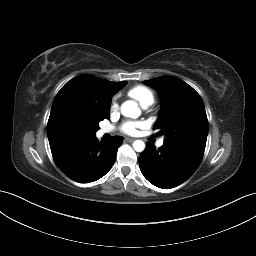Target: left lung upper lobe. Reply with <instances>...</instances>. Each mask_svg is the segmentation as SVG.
<instances>
[{"instance_id":"5c2ea615","label":"left lung upper lobe","mask_w":256,"mask_h":256,"mask_svg":"<svg viewBox=\"0 0 256 256\" xmlns=\"http://www.w3.org/2000/svg\"><path fill=\"white\" fill-rule=\"evenodd\" d=\"M155 88L162 109L154 124L157 134H165L164 146L202 159L208 133V120L200 95L173 76H160L143 82Z\"/></svg>"}]
</instances>
